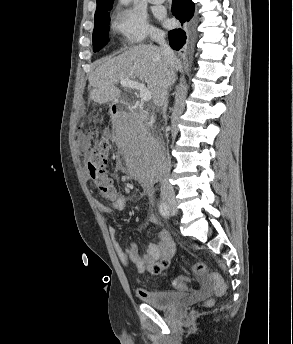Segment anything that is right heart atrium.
Segmentation results:
<instances>
[{"label": "right heart atrium", "mask_w": 293, "mask_h": 344, "mask_svg": "<svg viewBox=\"0 0 293 344\" xmlns=\"http://www.w3.org/2000/svg\"><path fill=\"white\" fill-rule=\"evenodd\" d=\"M110 27L127 48L142 46L148 40H156L162 33L147 22L146 17L133 8H118L113 14Z\"/></svg>", "instance_id": "obj_1"}]
</instances>
